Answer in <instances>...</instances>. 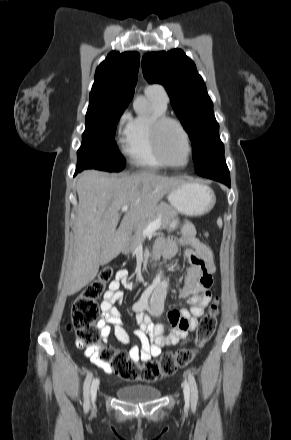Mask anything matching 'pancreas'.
<instances>
[{"mask_svg":"<svg viewBox=\"0 0 291 440\" xmlns=\"http://www.w3.org/2000/svg\"><path fill=\"white\" fill-rule=\"evenodd\" d=\"M177 215V211L170 205L166 203H161L156 209L152 212L150 217H148L145 221L138 224L135 228L134 235L129 240L128 251L134 253L137 246L144 240L143 231L146 227L158 217L161 219V227L166 228L170 221Z\"/></svg>","mask_w":291,"mask_h":440,"instance_id":"obj_1","label":"pancreas"}]
</instances>
